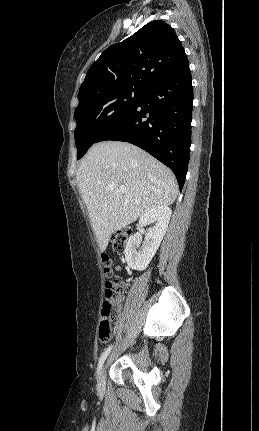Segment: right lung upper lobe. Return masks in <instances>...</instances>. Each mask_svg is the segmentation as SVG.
Wrapping results in <instances>:
<instances>
[{
  "mask_svg": "<svg viewBox=\"0 0 259 431\" xmlns=\"http://www.w3.org/2000/svg\"><path fill=\"white\" fill-rule=\"evenodd\" d=\"M188 65L173 28L161 20L151 21L101 54L87 71L79 90V103L118 88L147 89Z\"/></svg>",
  "mask_w": 259,
  "mask_h": 431,
  "instance_id": "obj_1",
  "label": "right lung upper lobe"
}]
</instances>
